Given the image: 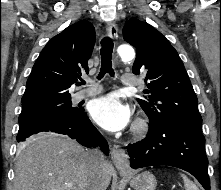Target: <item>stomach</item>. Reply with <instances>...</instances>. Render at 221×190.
Returning <instances> with one entry per match:
<instances>
[{"label": "stomach", "mask_w": 221, "mask_h": 190, "mask_svg": "<svg viewBox=\"0 0 221 190\" xmlns=\"http://www.w3.org/2000/svg\"><path fill=\"white\" fill-rule=\"evenodd\" d=\"M121 175L126 178L130 186L135 190H155L157 181L155 176L149 171L140 174L129 176L126 172L120 171Z\"/></svg>", "instance_id": "1"}]
</instances>
